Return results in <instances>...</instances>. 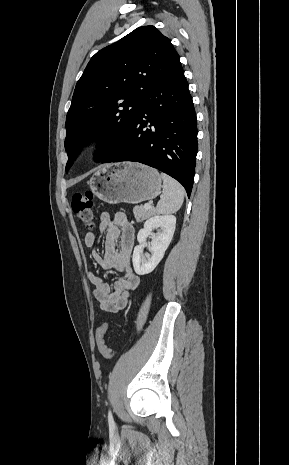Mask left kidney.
<instances>
[{
    "instance_id": "obj_1",
    "label": "left kidney",
    "mask_w": 289,
    "mask_h": 465,
    "mask_svg": "<svg viewBox=\"0 0 289 465\" xmlns=\"http://www.w3.org/2000/svg\"><path fill=\"white\" fill-rule=\"evenodd\" d=\"M176 217L173 215L152 216L146 220L144 227L138 232V245L135 246L132 256L133 267L138 275L151 273L162 260L175 231ZM157 232L154 233L153 231ZM152 238L149 246L150 254H142L147 246L146 240Z\"/></svg>"
}]
</instances>
